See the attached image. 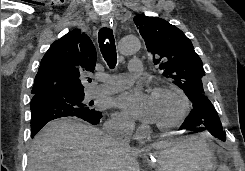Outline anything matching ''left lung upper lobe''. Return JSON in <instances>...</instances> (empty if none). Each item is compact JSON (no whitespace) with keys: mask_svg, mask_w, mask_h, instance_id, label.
<instances>
[{"mask_svg":"<svg viewBox=\"0 0 245 171\" xmlns=\"http://www.w3.org/2000/svg\"><path fill=\"white\" fill-rule=\"evenodd\" d=\"M134 22L162 75L173 80L190 101L205 94L203 64L190 39L176 26L158 17L138 14Z\"/></svg>","mask_w":245,"mask_h":171,"instance_id":"obj_1","label":"left lung upper lobe"}]
</instances>
